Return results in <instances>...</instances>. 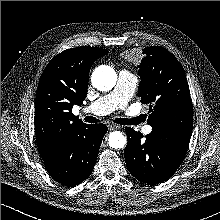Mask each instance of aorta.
Returning a JSON list of instances; mask_svg holds the SVG:
<instances>
[{
    "mask_svg": "<svg viewBox=\"0 0 220 220\" xmlns=\"http://www.w3.org/2000/svg\"><path fill=\"white\" fill-rule=\"evenodd\" d=\"M92 84L100 91L111 90L117 82V75L113 68L109 66H99L92 74ZM109 145L115 149H122L126 145V137L119 131H113L109 136Z\"/></svg>",
    "mask_w": 220,
    "mask_h": 220,
    "instance_id": "762f6f07",
    "label": "aorta"
}]
</instances>
